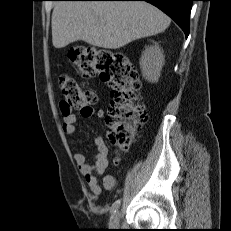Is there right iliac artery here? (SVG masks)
Wrapping results in <instances>:
<instances>
[{
  "instance_id": "82829eb1",
  "label": "right iliac artery",
  "mask_w": 231,
  "mask_h": 231,
  "mask_svg": "<svg viewBox=\"0 0 231 231\" xmlns=\"http://www.w3.org/2000/svg\"><path fill=\"white\" fill-rule=\"evenodd\" d=\"M119 206H120V200H116L111 206V210H110L111 214L115 213L118 210Z\"/></svg>"
}]
</instances>
